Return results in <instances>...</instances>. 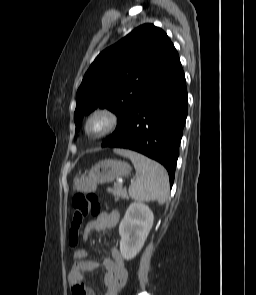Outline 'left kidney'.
Masks as SVG:
<instances>
[{
  "label": "left kidney",
  "mask_w": 256,
  "mask_h": 295,
  "mask_svg": "<svg viewBox=\"0 0 256 295\" xmlns=\"http://www.w3.org/2000/svg\"><path fill=\"white\" fill-rule=\"evenodd\" d=\"M154 215L142 202H133L119 225L120 252L124 259L132 260L142 249L152 228Z\"/></svg>",
  "instance_id": "1"
}]
</instances>
